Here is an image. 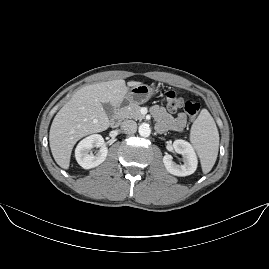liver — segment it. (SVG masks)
Listing matches in <instances>:
<instances>
[{
	"mask_svg": "<svg viewBox=\"0 0 269 269\" xmlns=\"http://www.w3.org/2000/svg\"><path fill=\"white\" fill-rule=\"evenodd\" d=\"M130 81L128 87L140 85ZM123 79L88 85L78 90L56 114L49 134L50 148L56 163L69 168L70 156L75 143L82 137L105 131L109 119L102 104L120 105L128 92Z\"/></svg>",
	"mask_w": 269,
	"mask_h": 269,
	"instance_id": "obj_1",
	"label": "liver"
}]
</instances>
